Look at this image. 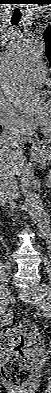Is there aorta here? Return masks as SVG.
<instances>
[{"label": "aorta", "instance_id": "obj_1", "mask_svg": "<svg viewBox=\"0 0 51 393\" xmlns=\"http://www.w3.org/2000/svg\"><path fill=\"white\" fill-rule=\"evenodd\" d=\"M44 52L43 38L35 35H20L13 39L8 46L3 63L4 93L20 111H31L38 104V97L27 83L25 73L42 58ZM25 207L43 235H46L43 238L45 245L50 244L49 218L39 195L27 190ZM46 249H49V246H46Z\"/></svg>", "mask_w": 51, "mask_h": 393}]
</instances>
